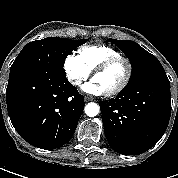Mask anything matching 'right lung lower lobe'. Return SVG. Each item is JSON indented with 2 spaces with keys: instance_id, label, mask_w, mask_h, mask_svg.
<instances>
[{
  "instance_id": "obj_1",
  "label": "right lung lower lobe",
  "mask_w": 178,
  "mask_h": 178,
  "mask_svg": "<svg viewBox=\"0 0 178 178\" xmlns=\"http://www.w3.org/2000/svg\"><path fill=\"white\" fill-rule=\"evenodd\" d=\"M6 102L18 134L29 144L46 150L70 140L85 105L84 96L66 76L53 72L11 75Z\"/></svg>"
}]
</instances>
